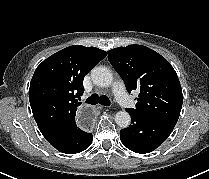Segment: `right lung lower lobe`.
Instances as JSON below:
<instances>
[{
    "label": "right lung lower lobe",
    "mask_w": 209,
    "mask_h": 179,
    "mask_svg": "<svg viewBox=\"0 0 209 179\" xmlns=\"http://www.w3.org/2000/svg\"><path fill=\"white\" fill-rule=\"evenodd\" d=\"M92 139L91 133L84 132L74 123L48 142L62 153L75 154L87 149Z\"/></svg>",
    "instance_id": "obj_1"
}]
</instances>
